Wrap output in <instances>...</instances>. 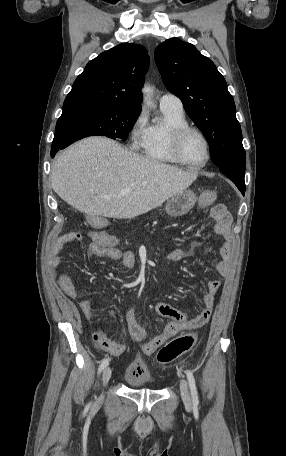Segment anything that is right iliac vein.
Returning a JSON list of instances; mask_svg holds the SVG:
<instances>
[{
    "instance_id": "obj_1",
    "label": "right iliac vein",
    "mask_w": 286,
    "mask_h": 456,
    "mask_svg": "<svg viewBox=\"0 0 286 456\" xmlns=\"http://www.w3.org/2000/svg\"><path fill=\"white\" fill-rule=\"evenodd\" d=\"M111 375H112L111 368L110 367H106L104 369V371H103V374H102V383H103L104 387L108 384V382H109V380L111 378ZM102 397H103V395H101L99 397L98 402H100L102 400Z\"/></svg>"
}]
</instances>
